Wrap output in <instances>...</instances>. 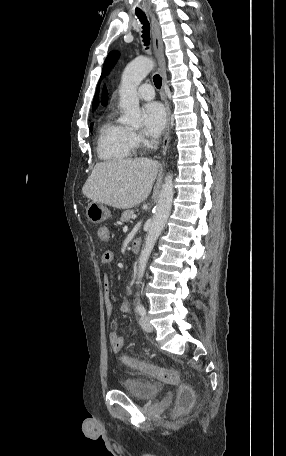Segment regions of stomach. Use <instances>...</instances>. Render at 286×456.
Segmentation results:
<instances>
[{
	"label": "stomach",
	"mask_w": 286,
	"mask_h": 456,
	"mask_svg": "<svg viewBox=\"0 0 286 456\" xmlns=\"http://www.w3.org/2000/svg\"><path fill=\"white\" fill-rule=\"evenodd\" d=\"M110 215V210L101 203L91 202L86 208L87 219L94 224L105 221Z\"/></svg>",
	"instance_id": "stomach-1"
}]
</instances>
